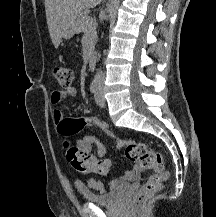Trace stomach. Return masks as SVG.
I'll use <instances>...</instances> for the list:
<instances>
[{"label": "stomach", "mask_w": 216, "mask_h": 217, "mask_svg": "<svg viewBox=\"0 0 216 217\" xmlns=\"http://www.w3.org/2000/svg\"><path fill=\"white\" fill-rule=\"evenodd\" d=\"M75 33V24H73L71 27H69L67 29V31L65 32V38L69 39L71 38Z\"/></svg>", "instance_id": "obj_1"}]
</instances>
